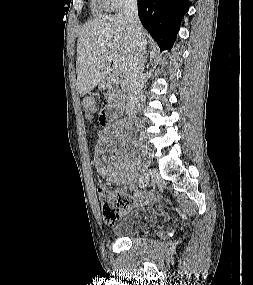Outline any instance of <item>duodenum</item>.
I'll list each match as a JSON object with an SVG mask.
<instances>
[{"label":"duodenum","mask_w":253,"mask_h":285,"mask_svg":"<svg viewBox=\"0 0 253 285\" xmlns=\"http://www.w3.org/2000/svg\"><path fill=\"white\" fill-rule=\"evenodd\" d=\"M110 86V81L109 80H102L101 83H100V88L102 89H106ZM117 114V109H111L109 112H108V119L112 120L115 118Z\"/></svg>","instance_id":"1"}]
</instances>
